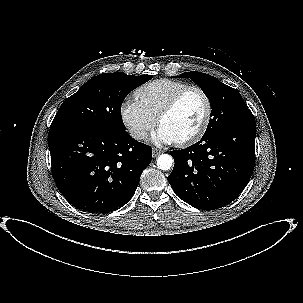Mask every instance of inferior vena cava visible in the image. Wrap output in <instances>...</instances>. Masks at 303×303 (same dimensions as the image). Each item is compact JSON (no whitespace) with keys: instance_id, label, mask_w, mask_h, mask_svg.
Segmentation results:
<instances>
[{"instance_id":"obj_1","label":"inferior vena cava","mask_w":303,"mask_h":303,"mask_svg":"<svg viewBox=\"0 0 303 303\" xmlns=\"http://www.w3.org/2000/svg\"><path fill=\"white\" fill-rule=\"evenodd\" d=\"M131 135L133 138L139 140V139L146 138L147 133L143 130H133V131H131Z\"/></svg>"}]
</instances>
